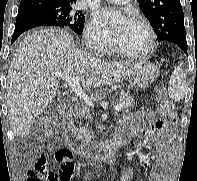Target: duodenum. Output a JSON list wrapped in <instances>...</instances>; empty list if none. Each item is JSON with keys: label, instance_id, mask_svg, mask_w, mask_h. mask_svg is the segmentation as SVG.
<instances>
[{"label": "duodenum", "instance_id": "obj_1", "mask_svg": "<svg viewBox=\"0 0 197 181\" xmlns=\"http://www.w3.org/2000/svg\"><path fill=\"white\" fill-rule=\"evenodd\" d=\"M65 115L68 120V127H71L73 113L70 110H67ZM127 140V137L119 132L109 145H101L97 147L88 146L85 148L75 147L74 150L79 156L90 154L94 157H98L99 159H109L113 156V154H116L119 151Z\"/></svg>", "mask_w": 197, "mask_h": 181}]
</instances>
